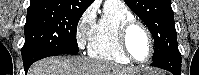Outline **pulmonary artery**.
I'll list each match as a JSON object with an SVG mask.
<instances>
[{"instance_id":"obj_1","label":"pulmonary artery","mask_w":199,"mask_h":75,"mask_svg":"<svg viewBox=\"0 0 199 75\" xmlns=\"http://www.w3.org/2000/svg\"><path fill=\"white\" fill-rule=\"evenodd\" d=\"M117 5L123 6L124 3L123 1H114V0H109L105 2V6H117Z\"/></svg>"}]
</instances>
